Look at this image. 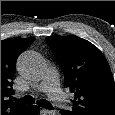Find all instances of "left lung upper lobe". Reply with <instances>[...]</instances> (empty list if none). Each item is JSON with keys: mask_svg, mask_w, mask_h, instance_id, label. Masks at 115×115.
<instances>
[{"mask_svg": "<svg viewBox=\"0 0 115 115\" xmlns=\"http://www.w3.org/2000/svg\"><path fill=\"white\" fill-rule=\"evenodd\" d=\"M46 41L74 93L71 115H114L115 83L107 60L89 41L76 36H49Z\"/></svg>", "mask_w": 115, "mask_h": 115, "instance_id": "obj_1", "label": "left lung upper lobe"}]
</instances>
